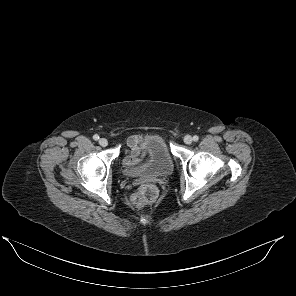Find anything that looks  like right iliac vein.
<instances>
[{"label": "right iliac vein", "instance_id": "obj_1", "mask_svg": "<svg viewBox=\"0 0 296 296\" xmlns=\"http://www.w3.org/2000/svg\"><path fill=\"white\" fill-rule=\"evenodd\" d=\"M99 144L102 146V147H106L108 145V140L106 138H101L99 140Z\"/></svg>", "mask_w": 296, "mask_h": 296}]
</instances>
